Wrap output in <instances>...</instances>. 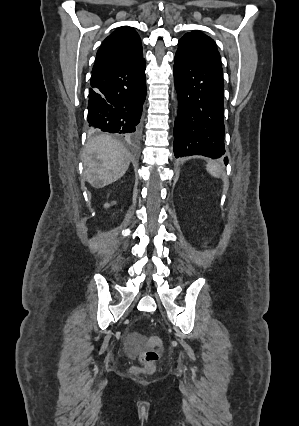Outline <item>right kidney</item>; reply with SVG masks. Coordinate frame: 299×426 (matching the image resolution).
Segmentation results:
<instances>
[{
	"instance_id": "right-kidney-1",
	"label": "right kidney",
	"mask_w": 299,
	"mask_h": 426,
	"mask_svg": "<svg viewBox=\"0 0 299 426\" xmlns=\"http://www.w3.org/2000/svg\"><path fill=\"white\" fill-rule=\"evenodd\" d=\"M113 203L115 204V202H113ZM109 206H110V204H108V203L104 204L105 208H108Z\"/></svg>"
}]
</instances>
